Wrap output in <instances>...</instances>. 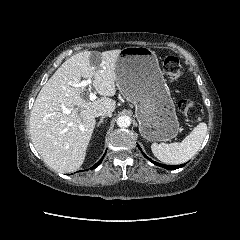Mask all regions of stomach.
I'll use <instances>...</instances> for the list:
<instances>
[{
	"instance_id": "obj_1",
	"label": "stomach",
	"mask_w": 240,
	"mask_h": 240,
	"mask_svg": "<svg viewBox=\"0 0 240 240\" xmlns=\"http://www.w3.org/2000/svg\"><path fill=\"white\" fill-rule=\"evenodd\" d=\"M115 82L124 98L134 104L143 138L155 142L177 136L180 124L175 105L154 51L144 46L122 49Z\"/></svg>"
}]
</instances>
